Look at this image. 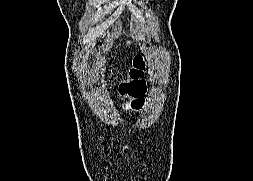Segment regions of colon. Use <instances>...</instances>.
I'll list each match as a JSON object with an SVG mask.
<instances>
[{"label": "colon", "mask_w": 253, "mask_h": 181, "mask_svg": "<svg viewBox=\"0 0 253 181\" xmlns=\"http://www.w3.org/2000/svg\"><path fill=\"white\" fill-rule=\"evenodd\" d=\"M142 66L143 61L138 56L134 66L129 69L126 79L120 84V94L129 99V106L134 110L141 107L145 92V84L140 69Z\"/></svg>", "instance_id": "5ec220e1"}]
</instances>
